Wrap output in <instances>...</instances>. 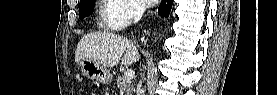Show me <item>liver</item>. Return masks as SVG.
Masks as SVG:
<instances>
[{"instance_id":"1","label":"liver","mask_w":277,"mask_h":95,"mask_svg":"<svg viewBox=\"0 0 277 95\" xmlns=\"http://www.w3.org/2000/svg\"><path fill=\"white\" fill-rule=\"evenodd\" d=\"M84 58L94 60L104 67H114L120 60L123 65L129 66L138 61L140 56L132 41L104 31L86 34L81 38L76 48L75 61L78 63Z\"/></svg>"}]
</instances>
